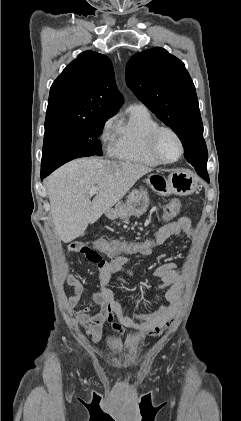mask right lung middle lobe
Masks as SVG:
<instances>
[{"mask_svg": "<svg viewBox=\"0 0 241 421\" xmlns=\"http://www.w3.org/2000/svg\"><path fill=\"white\" fill-rule=\"evenodd\" d=\"M111 115L47 114L41 169L58 168L79 157L102 155L98 139Z\"/></svg>", "mask_w": 241, "mask_h": 421, "instance_id": "dd1d6c3e", "label": "right lung middle lobe"}]
</instances>
